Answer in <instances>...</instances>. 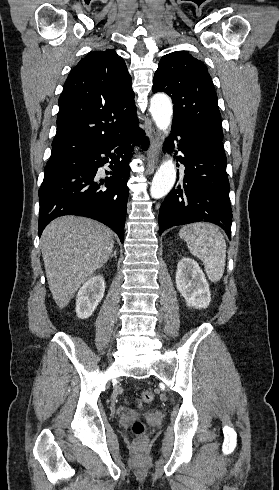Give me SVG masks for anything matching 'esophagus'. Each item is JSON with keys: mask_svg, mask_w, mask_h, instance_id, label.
Returning a JSON list of instances; mask_svg holds the SVG:
<instances>
[{"mask_svg": "<svg viewBox=\"0 0 279 490\" xmlns=\"http://www.w3.org/2000/svg\"><path fill=\"white\" fill-rule=\"evenodd\" d=\"M160 149V142L158 132H154V136L151 140L150 148L147 151V161L149 168H153L157 162V154Z\"/></svg>", "mask_w": 279, "mask_h": 490, "instance_id": "1", "label": "esophagus"}]
</instances>
